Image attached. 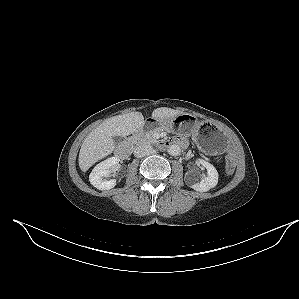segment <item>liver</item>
I'll use <instances>...</instances> for the list:
<instances>
[{
  "instance_id": "obj_1",
  "label": "liver",
  "mask_w": 299,
  "mask_h": 299,
  "mask_svg": "<svg viewBox=\"0 0 299 299\" xmlns=\"http://www.w3.org/2000/svg\"><path fill=\"white\" fill-rule=\"evenodd\" d=\"M184 114L167 107L157 108L152 112L155 120L170 119ZM145 124L141 112H130L111 117L91 131L84 139L79 152V167L86 172L97 161L111 154L115 149L113 136L126 137L142 131Z\"/></svg>"
}]
</instances>
